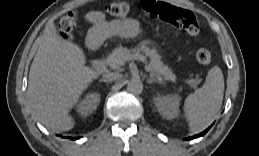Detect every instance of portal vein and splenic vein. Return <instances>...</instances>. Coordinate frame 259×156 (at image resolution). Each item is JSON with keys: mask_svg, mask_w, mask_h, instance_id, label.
Here are the masks:
<instances>
[{"mask_svg": "<svg viewBox=\"0 0 259 156\" xmlns=\"http://www.w3.org/2000/svg\"><path fill=\"white\" fill-rule=\"evenodd\" d=\"M134 59H139V60H141L142 62H144V63H145V69H146V71L152 72L151 66H150V65H147L146 59H145L143 56L134 57ZM151 75H153V74H151ZM187 83L193 84V85L196 84V82H195L194 80H188Z\"/></svg>", "mask_w": 259, "mask_h": 156, "instance_id": "1", "label": "portal vein and splenic vein"}]
</instances>
